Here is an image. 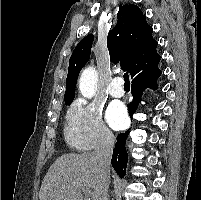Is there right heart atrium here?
Listing matches in <instances>:
<instances>
[{"mask_svg":"<svg viewBox=\"0 0 201 200\" xmlns=\"http://www.w3.org/2000/svg\"><path fill=\"white\" fill-rule=\"evenodd\" d=\"M65 137L67 142L82 150L108 148L114 135L102 119L101 108L84 99H77L66 115Z\"/></svg>","mask_w":201,"mask_h":200,"instance_id":"obj_1","label":"right heart atrium"}]
</instances>
